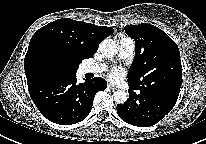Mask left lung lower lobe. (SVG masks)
Wrapping results in <instances>:
<instances>
[{
  "mask_svg": "<svg viewBox=\"0 0 206 144\" xmlns=\"http://www.w3.org/2000/svg\"><path fill=\"white\" fill-rule=\"evenodd\" d=\"M128 84L129 100L117 106V113L125 122L139 127L152 126L162 120L174 107L181 88H153L133 82Z\"/></svg>",
  "mask_w": 206,
  "mask_h": 144,
  "instance_id": "left-lung-lower-lobe-1",
  "label": "left lung lower lobe"
}]
</instances>
